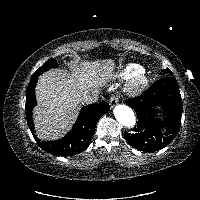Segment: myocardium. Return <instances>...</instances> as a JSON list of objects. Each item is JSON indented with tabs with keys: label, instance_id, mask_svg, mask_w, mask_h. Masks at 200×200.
Wrapping results in <instances>:
<instances>
[{
	"label": "myocardium",
	"instance_id": "myocardium-1",
	"mask_svg": "<svg viewBox=\"0 0 200 200\" xmlns=\"http://www.w3.org/2000/svg\"><path fill=\"white\" fill-rule=\"evenodd\" d=\"M149 78L147 74L142 71L131 77L125 85L124 91L127 95L136 97L142 94L148 87Z\"/></svg>",
	"mask_w": 200,
	"mask_h": 200
}]
</instances>
